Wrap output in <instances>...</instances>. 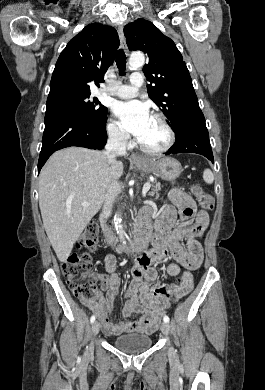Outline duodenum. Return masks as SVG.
<instances>
[{"instance_id": "obj_1", "label": "duodenum", "mask_w": 265, "mask_h": 390, "mask_svg": "<svg viewBox=\"0 0 265 390\" xmlns=\"http://www.w3.org/2000/svg\"><path fill=\"white\" fill-rule=\"evenodd\" d=\"M102 224L105 225V222H103ZM103 236H104V242L108 246H110L113 243L112 236L106 230H104ZM150 238H151L150 221L147 217L140 214L138 217L137 228L135 231V242L133 248L136 250L143 249L146 246V244L149 242ZM120 250L127 252L128 248L125 246H120Z\"/></svg>"}]
</instances>
